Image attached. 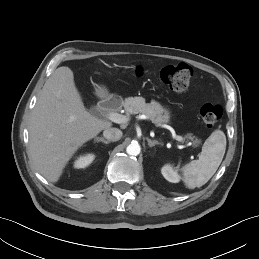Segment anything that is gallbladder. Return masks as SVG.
<instances>
[{
	"label": "gallbladder",
	"instance_id": "gallbladder-1",
	"mask_svg": "<svg viewBox=\"0 0 259 259\" xmlns=\"http://www.w3.org/2000/svg\"><path fill=\"white\" fill-rule=\"evenodd\" d=\"M89 111H90L91 113H94V112H95V107H94V106H91V108L89 109Z\"/></svg>",
	"mask_w": 259,
	"mask_h": 259
}]
</instances>
